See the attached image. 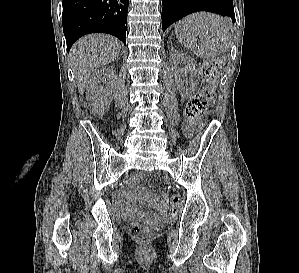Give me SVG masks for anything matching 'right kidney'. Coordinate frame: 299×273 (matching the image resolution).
Returning <instances> with one entry per match:
<instances>
[{"label":"right kidney","instance_id":"obj_1","mask_svg":"<svg viewBox=\"0 0 299 273\" xmlns=\"http://www.w3.org/2000/svg\"><path fill=\"white\" fill-rule=\"evenodd\" d=\"M115 76L116 71L113 67H103L95 71L89 78L86 98L93 112L102 115L108 110L115 85L111 81L102 86V82H105L106 78L111 80Z\"/></svg>","mask_w":299,"mask_h":273}]
</instances>
